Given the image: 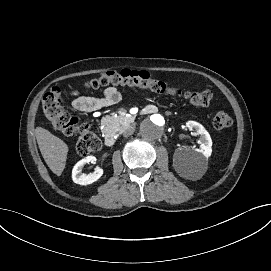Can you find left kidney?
Returning <instances> with one entry per match:
<instances>
[{
	"label": "left kidney",
	"mask_w": 271,
	"mask_h": 271,
	"mask_svg": "<svg viewBox=\"0 0 271 271\" xmlns=\"http://www.w3.org/2000/svg\"><path fill=\"white\" fill-rule=\"evenodd\" d=\"M192 129H196L200 136V147L195 150L180 148L174 154L175 165L185 173L193 176L196 174V167L200 163V157H208L211 153L212 139L206 128L199 122L189 120L186 123Z\"/></svg>",
	"instance_id": "5707ae66"
}]
</instances>
